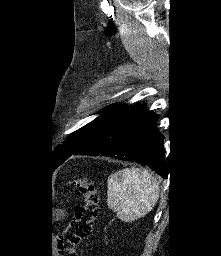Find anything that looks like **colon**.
<instances>
[{
  "label": "colon",
  "mask_w": 221,
  "mask_h": 256,
  "mask_svg": "<svg viewBox=\"0 0 221 256\" xmlns=\"http://www.w3.org/2000/svg\"><path fill=\"white\" fill-rule=\"evenodd\" d=\"M72 184L80 191L83 203L75 207L70 224L57 240L58 256H76L75 247L90 235L99 208L97 191L88 178L76 179Z\"/></svg>",
  "instance_id": "obj_1"
}]
</instances>
